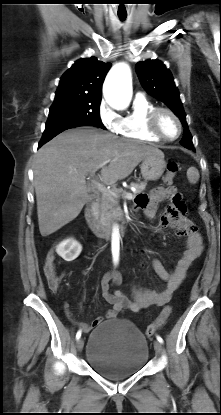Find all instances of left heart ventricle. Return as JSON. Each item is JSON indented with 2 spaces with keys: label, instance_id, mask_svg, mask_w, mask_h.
<instances>
[{
  "label": "left heart ventricle",
  "instance_id": "b2bd125f",
  "mask_svg": "<svg viewBox=\"0 0 221 415\" xmlns=\"http://www.w3.org/2000/svg\"><path fill=\"white\" fill-rule=\"evenodd\" d=\"M159 128L167 137H175L178 133L177 122L167 113L161 114L159 118Z\"/></svg>",
  "mask_w": 221,
  "mask_h": 415
}]
</instances>
